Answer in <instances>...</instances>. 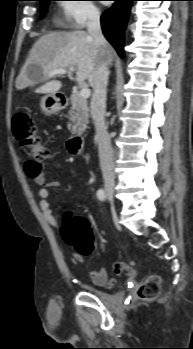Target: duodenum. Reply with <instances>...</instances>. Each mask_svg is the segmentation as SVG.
<instances>
[{
    "label": "duodenum",
    "instance_id": "1",
    "mask_svg": "<svg viewBox=\"0 0 193 349\" xmlns=\"http://www.w3.org/2000/svg\"><path fill=\"white\" fill-rule=\"evenodd\" d=\"M60 101L61 103L65 104L67 99L63 97L60 99ZM83 143H84V139L82 136L75 135L71 137L67 142V148L69 150V153L73 156L80 155L83 149Z\"/></svg>",
    "mask_w": 193,
    "mask_h": 349
}]
</instances>
